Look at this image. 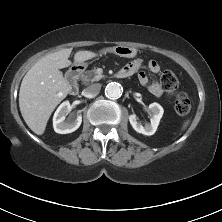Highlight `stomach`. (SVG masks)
I'll list each match as a JSON object with an SVG mask.
<instances>
[{"label": "stomach", "instance_id": "stomach-1", "mask_svg": "<svg viewBox=\"0 0 222 222\" xmlns=\"http://www.w3.org/2000/svg\"><path fill=\"white\" fill-rule=\"evenodd\" d=\"M112 52L120 57L133 58L137 55V49L130 46H116L112 49ZM75 66L87 67L86 62H75Z\"/></svg>", "mask_w": 222, "mask_h": 222}]
</instances>
